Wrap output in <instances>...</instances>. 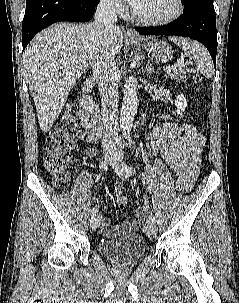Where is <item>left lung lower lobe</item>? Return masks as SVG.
<instances>
[{"mask_svg": "<svg viewBox=\"0 0 239 303\" xmlns=\"http://www.w3.org/2000/svg\"><path fill=\"white\" fill-rule=\"evenodd\" d=\"M135 30L143 35H177L195 39L207 47L213 62L216 64V16L211 1H200L184 9L181 18L170 25L136 27Z\"/></svg>", "mask_w": 239, "mask_h": 303, "instance_id": "0a47b994", "label": "left lung lower lobe"}]
</instances>
